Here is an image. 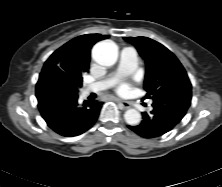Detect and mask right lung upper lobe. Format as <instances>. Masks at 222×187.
I'll list each match as a JSON object with an SVG mask.
<instances>
[{
	"label": "right lung upper lobe",
	"mask_w": 222,
	"mask_h": 187,
	"mask_svg": "<svg viewBox=\"0 0 222 187\" xmlns=\"http://www.w3.org/2000/svg\"><path fill=\"white\" fill-rule=\"evenodd\" d=\"M108 37L101 34H86L70 40L48 58L42 71H57L58 68L70 67L81 74L87 72L92 46Z\"/></svg>",
	"instance_id": "right-lung-upper-lobe-1"
}]
</instances>
